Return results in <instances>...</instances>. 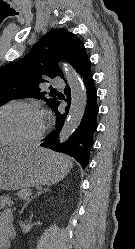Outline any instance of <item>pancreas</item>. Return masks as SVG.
Masks as SVG:
<instances>
[{
	"mask_svg": "<svg viewBox=\"0 0 135 249\" xmlns=\"http://www.w3.org/2000/svg\"><path fill=\"white\" fill-rule=\"evenodd\" d=\"M30 192L31 191L29 189H22L17 192V195L20 199H27Z\"/></svg>",
	"mask_w": 135,
	"mask_h": 249,
	"instance_id": "1",
	"label": "pancreas"
}]
</instances>
